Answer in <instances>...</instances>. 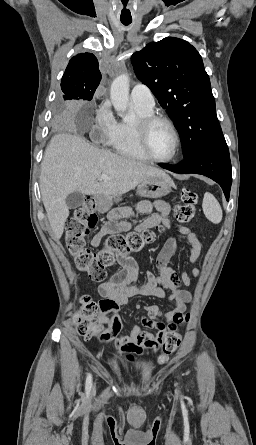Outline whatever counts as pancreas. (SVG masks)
<instances>
[{
    "mask_svg": "<svg viewBox=\"0 0 256 445\" xmlns=\"http://www.w3.org/2000/svg\"><path fill=\"white\" fill-rule=\"evenodd\" d=\"M138 206L141 214H150L153 210V206L149 201H141Z\"/></svg>",
    "mask_w": 256,
    "mask_h": 445,
    "instance_id": "pancreas-1",
    "label": "pancreas"
}]
</instances>
